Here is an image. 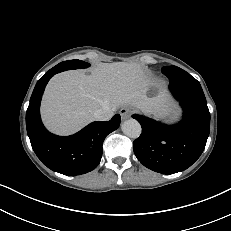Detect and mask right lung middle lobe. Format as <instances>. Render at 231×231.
I'll return each instance as SVG.
<instances>
[{"label": "right lung middle lobe", "instance_id": "right-lung-middle-lobe-1", "mask_svg": "<svg viewBox=\"0 0 231 231\" xmlns=\"http://www.w3.org/2000/svg\"><path fill=\"white\" fill-rule=\"evenodd\" d=\"M89 66L90 65L88 63L75 59V60H68V61L61 62L55 67H53L52 70H59L61 72L70 69L87 68Z\"/></svg>", "mask_w": 231, "mask_h": 231}]
</instances>
